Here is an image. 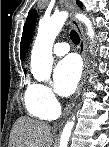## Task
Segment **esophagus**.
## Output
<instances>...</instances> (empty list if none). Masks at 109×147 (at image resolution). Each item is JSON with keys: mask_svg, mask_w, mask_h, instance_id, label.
I'll list each match as a JSON object with an SVG mask.
<instances>
[{"mask_svg": "<svg viewBox=\"0 0 109 147\" xmlns=\"http://www.w3.org/2000/svg\"><path fill=\"white\" fill-rule=\"evenodd\" d=\"M66 4H67L69 10H71L72 12H75L77 10L76 3H75L74 0H67ZM72 26L75 28V30L77 31V33L80 36L79 51H80V54H81V56H82V58L84 60V71H83L81 80L79 82V85H78V87L76 89L75 94L73 95V97L71 98V100L69 101L67 106L65 107L61 117L54 123V125H53L54 129L60 128L63 125L66 118L68 117V115L70 114V112H71V110H72V108H73V106L75 104L76 99L78 98V96L81 93V90H82V87L84 85L85 78H86V75H87L88 59H87V56H86V39H85V35H84L83 29H82L80 23L77 20L74 19L72 21Z\"/></svg>", "mask_w": 109, "mask_h": 147, "instance_id": "obj_1", "label": "esophagus"}]
</instances>
